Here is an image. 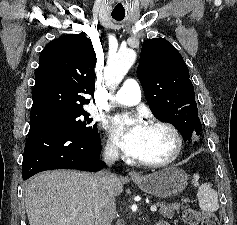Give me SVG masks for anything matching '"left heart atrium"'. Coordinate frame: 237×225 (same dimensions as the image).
Here are the masks:
<instances>
[{"instance_id":"left-heart-atrium-1","label":"left heart atrium","mask_w":237,"mask_h":225,"mask_svg":"<svg viewBox=\"0 0 237 225\" xmlns=\"http://www.w3.org/2000/svg\"><path fill=\"white\" fill-rule=\"evenodd\" d=\"M109 129L127 155L139 157L146 130V126L139 119L117 115L111 118Z\"/></svg>"}]
</instances>
